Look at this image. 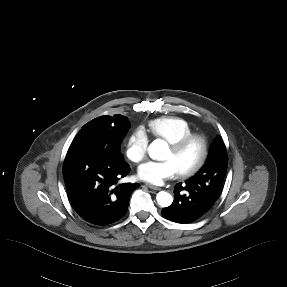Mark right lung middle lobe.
I'll return each mask as SVG.
<instances>
[{
  "label": "right lung middle lobe",
  "instance_id": "dd1d6c3e",
  "mask_svg": "<svg viewBox=\"0 0 287 287\" xmlns=\"http://www.w3.org/2000/svg\"><path fill=\"white\" fill-rule=\"evenodd\" d=\"M129 128V121L124 116L116 125L110 136L101 131V123L96 119L85 124L72 141L68 152L80 150L96 151L110 157L120 156V143Z\"/></svg>",
  "mask_w": 287,
  "mask_h": 287
}]
</instances>
